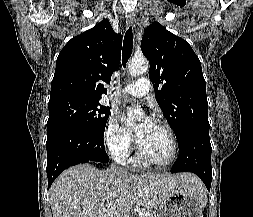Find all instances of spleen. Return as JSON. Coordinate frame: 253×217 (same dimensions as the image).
<instances>
[{
	"label": "spleen",
	"instance_id": "3e777b00",
	"mask_svg": "<svg viewBox=\"0 0 253 217\" xmlns=\"http://www.w3.org/2000/svg\"><path fill=\"white\" fill-rule=\"evenodd\" d=\"M201 198L203 200V203L205 204L206 203V197H205V195H203Z\"/></svg>",
	"mask_w": 253,
	"mask_h": 217
}]
</instances>
